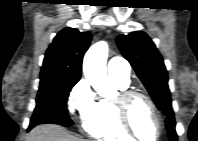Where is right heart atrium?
Returning <instances> with one entry per match:
<instances>
[{
	"label": "right heart atrium",
	"mask_w": 198,
	"mask_h": 141,
	"mask_svg": "<svg viewBox=\"0 0 198 141\" xmlns=\"http://www.w3.org/2000/svg\"><path fill=\"white\" fill-rule=\"evenodd\" d=\"M96 104L94 93L86 79L79 80L71 89L67 99V109L74 119L85 121Z\"/></svg>",
	"instance_id": "d8ad5b80"
}]
</instances>
